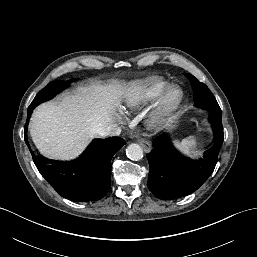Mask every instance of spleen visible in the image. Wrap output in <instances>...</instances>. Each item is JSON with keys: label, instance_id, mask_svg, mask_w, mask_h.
Here are the masks:
<instances>
[{"label": "spleen", "instance_id": "spleen-1", "mask_svg": "<svg viewBox=\"0 0 257 257\" xmlns=\"http://www.w3.org/2000/svg\"><path fill=\"white\" fill-rule=\"evenodd\" d=\"M173 145L177 150L188 156L194 157L198 153L196 140L192 136L184 138L181 142L176 140L173 142Z\"/></svg>", "mask_w": 257, "mask_h": 257}]
</instances>
